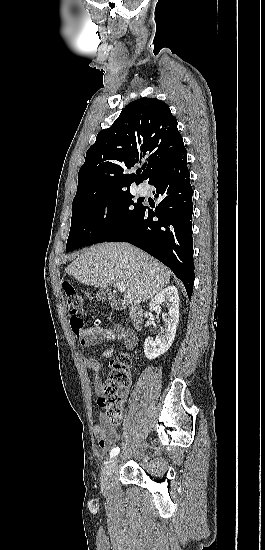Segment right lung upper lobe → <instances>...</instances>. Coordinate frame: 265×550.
I'll return each mask as SVG.
<instances>
[{
  "mask_svg": "<svg viewBox=\"0 0 265 550\" xmlns=\"http://www.w3.org/2000/svg\"><path fill=\"white\" fill-rule=\"evenodd\" d=\"M184 148L167 104L157 98L130 102L88 149L75 197L89 199L128 191L133 182L148 179L149 183ZM142 160L143 173L129 174Z\"/></svg>",
  "mask_w": 265,
  "mask_h": 550,
  "instance_id": "cb5924a9",
  "label": "right lung upper lobe"
}]
</instances>
